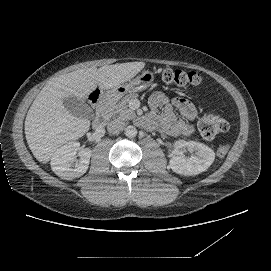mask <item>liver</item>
Returning <instances> with one entry per match:
<instances>
[{"label":"liver","mask_w":271,"mask_h":271,"mask_svg":"<svg viewBox=\"0 0 271 271\" xmlns=\"http://www.w3.org/2000/svg\"><path fill=\"white\" fill-rule=\"evenodd\" d=\"M143 67V62L87 67L49 80L33 100L24 123L26 141L34 157L45 163L55 149L88 130L86 118L73 116L64 108V97L84 99L97 85L102 89L120 85Z\"/></svg>","instance_id":"obj_1"}]
</instances>
